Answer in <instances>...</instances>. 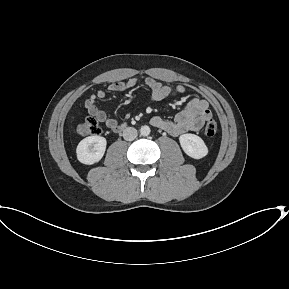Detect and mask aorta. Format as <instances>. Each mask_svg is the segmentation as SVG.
<instances>
[{
	"mask_svg": "<svg viewBox=\"0 0 289 289\" xmlns=\"http://www.w3.org/2000/svg\"><path fill=\"white\" fill-rule=\"evenodd\" d=\"M140 134L142 136H148L150 134V128L147 125H144L140 128Z\"/></svg>",
	"mask_w": 289,
	"mask_h": 289,
	"instance_id": "aorta-1",
	"label": "aorta"
}]
</instances>
